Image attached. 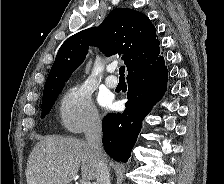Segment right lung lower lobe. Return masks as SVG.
<instances>
[{
  "label": "right lung lower lobe",
  "instance_id": "98d812e1",
  "mask_svg": "<svg viewBox=\"0 0 224 184\" xmlns=\"http://www.w3.org/2000/svg\"><path fill=\"white\" fill-rule=\"evenodd\" d=\"M128 101L123 113H110L102 121L103 146L113 159L127 162L142 127V120L167 86V67L160 64L127 77Z\"/></svg>",
  "mask_w": 224,
  "mask_h": 184
}]
</instances>
